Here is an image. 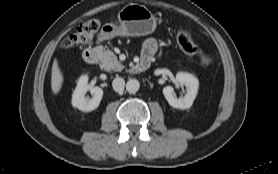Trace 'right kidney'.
<instances>
[{"instance_id": "right-kidney-1", "label": "right kidney", "mask_w": 278, "mask_h": 174, "mask_svg": "<svg viewBox=\"0 0 278 174\" xmlns=\"http://www.w3.org/2000/svg\"><path fill=\"white\" fill-rule=\"evenodd\" d=\"M87 91L92 93V98L86 96ZM102 96L103 90L100 87H90L88 85V76L82 75L73 92L72 105L81 111L89 112L99 106Z\"/></svg>"}]
</instances>
